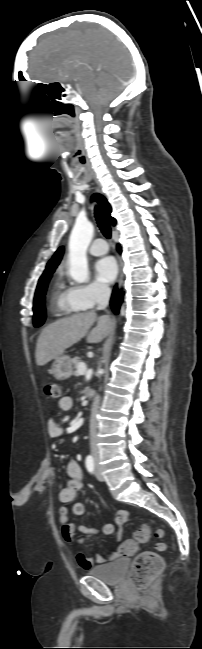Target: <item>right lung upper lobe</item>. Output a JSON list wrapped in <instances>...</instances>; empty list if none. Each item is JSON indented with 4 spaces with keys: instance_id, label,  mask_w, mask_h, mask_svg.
Returning <instances> with one entry per match:
<instances>
[{
    "instance_id": "1",
    "label": "right lung upper lobe",
    "mask_w": 202,
    "mask_h": 649,
    "mask_svg": "<svg viewBox=\"0 0 202 649\" xmlns=\"http://www.w3.org/2000/svg\"><path fill=\"white\" fill-rule=\"evenodd\" d=\"M92 197H93V199H95L100 204V206L102 207L104 213L108 217L111 224L115 225L116 220L113 217L110 216L111 206L108 203V201L100 194H94ZM63 253H64V247L62 246L55 252L52 259L49 260V262L46 265V269H45V271H44V273L42 275H45L47 273L55 271L56 267L58 266V264L60 263V261L62 259Z\"/></svg>"
}]
</instances>
